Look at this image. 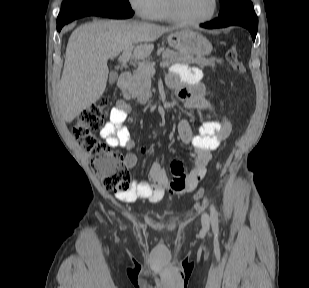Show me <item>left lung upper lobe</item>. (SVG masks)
Returning <instances> with one entry per match:
<instances>
[{
	"instance_id": "5c2ea615",
	"label": "left lung upper lobe",
	"mask_w": 309,
	"mask_h": 288,
	"mask_svg": "<svg viewBox=\"0 0 309 288\" xmlns=\"http://www.w3.org/2000/svg\"><path fill=\"white\" fill-rule=\"evenodd\" d=\"M252 6L250 0H220L219 17L231 15L243 8Z\"/></svg>"
}]
</instances>
